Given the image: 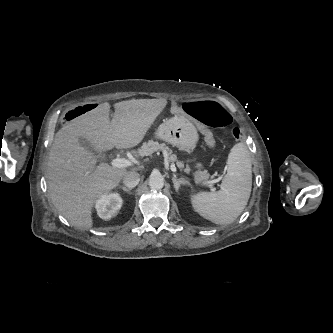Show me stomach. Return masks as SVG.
<instances>
[{"label": "stomach", "instance_id": "0dacf381", "mask_svg": "<svg viewBox=\"0 0 333 333\" xmlns=\"http://www.w3.org/2000/svg\"><path fill=\"white\" fill-rule=\"evenodd\" d=\"M156 136L186 151H193L199 140L196 127H193L181 116H175L159 125Z\"/></svg>", "mask_w": 333, "mask_h": 333}]
</instances>
